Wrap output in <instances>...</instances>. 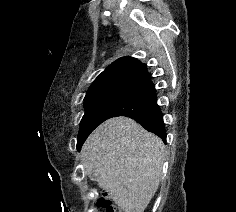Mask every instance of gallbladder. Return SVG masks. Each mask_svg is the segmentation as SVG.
<instances>
[{"mask_svg": "<svg viewBox=\"0 0 236 212\" xmlns=\"http://www.w3.org/2000/svg\"><path fill=\"white\" fill-rule=\"evenodd\" d=\"M91 180L97 181L98 175L95 171L91 172L89 175Z\"/></svg>", "mask_w": 236, "mask_h": 212, "instance_id": "obj_1", "label": "gallbladder"}]
</instances>
